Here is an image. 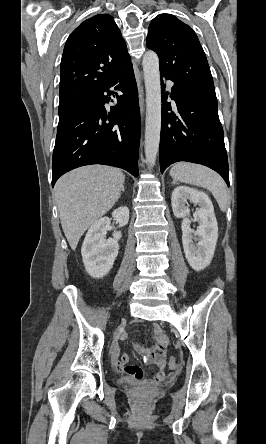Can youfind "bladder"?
Masks as SVG:
<instances>
[{
  "label": "bladder",
  "mask_w": 266,
  "mask_h": 444,
  "mask_svg": "<svg viewBox=\"0 0 266 444\" xmlns=\"http://www.w3.org/2000/svg\"><path fill=\"white\" fill-rule=\"evenodd\" d=\"M125 383L129 386H140L141 385L140 382H138L134 379H127V380H125Z\"/></svg>",
  "instance_id": "31cf9c89"
}]
</instances>
